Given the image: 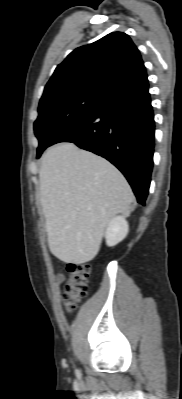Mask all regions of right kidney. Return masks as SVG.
Listing matches in <instances>:
<instances>
[{
	"mask_svg": "<svg viewBox=\"0 0 182 399\" xmlns=\"http://www.w3.org/2000/svg\"><path fill=\"white\" fill-rule=\"evenodd\" d=\"M129 225L123 216L112 218L105 232L106 243L108 246H115L121 242L128 234Z\"/></svg>",
	"mask_w": 182,
	"mask_h": 399,
	"instance_id": "right-kidney-1",
	"label": "right kidney"
}]
</instances>
